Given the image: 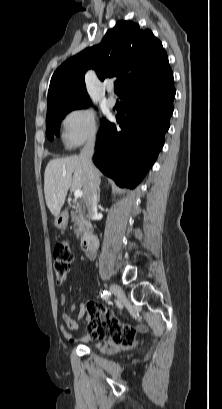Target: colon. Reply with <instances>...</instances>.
Segmentation results:
<instances>
[{"label":"colon","instance_id":"obj_1","mask_svg":"<svg viewBox=\"0 0 222 409\" xmlns=\"http://www.w3.org/2000/svg\"><path fill=\"white\" fill-rule=\"evenodd\" d=\"M73 258V252L68 243L62 242L56 245L53 254V271L58 283L65 281ZM88 310V330L94 339H109L122 345L134 339V329L112 318L108 309L98 304H90Z\"/></svg>","mask_w":222,"mask_h":409}]
</instances>
